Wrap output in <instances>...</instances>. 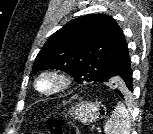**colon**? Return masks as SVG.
Wrapping results in <instances>:
<instances>
[{
  "mask_svg": "<svg viewBox=\"0 0 153 134\" xmlns=\"http://www.w3.org/2000/svg\"><path fill=\"white\" fill-rule=\"evenodd\" d=\"M47 127L50 131V134H79L78 129L70 124L65 123L60 119L51 118L47 122ZM23 134H42L36 131L25 132Z\"/></svg>",
  "mask_w": 153,
  "mask_h": 134,
  "instance_id": "colon-1",
  "label": "colon"
}]
</instances>
